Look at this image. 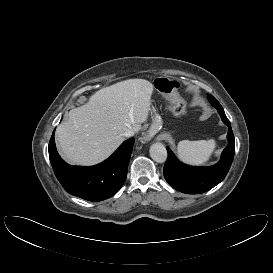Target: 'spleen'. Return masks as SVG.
Listing matches in <instances>:
<instances>
[{"instance_id": "obj_1", "label": "spleen", "mask_w": 273, "mask_h": 273, "mask_svg": "<svg viewBox=\"0 0 273 273\" xmlns=\"http://www.w3.org/2000/svg\"><path fill=\"white\" fill-rule=\"evenodd\" d=\"M215 147L216 141L214 139L199 141L182 140L178 143L177 154L184 163L201 166L210 159Z\"/></svg>"}]
</instances>
